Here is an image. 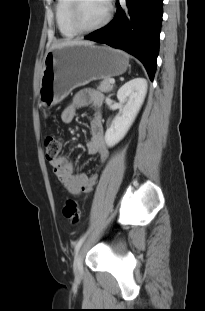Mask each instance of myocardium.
Returning <instances> with one entry per match:
<instances>
[{"label": "myocardium", "instance_id": "myocardium-1", "mask_svg": "<svg viewBox=\"0 0 205 311\" xmlns=\"http://www.w3.org/2000/svg\"><path fill=\"white\" fill-rule=\"evenodd\" d=\"M82 2H83V0H72L71 5H70V10H69L70 23L78 33L96 32V31L104 28L110 22L111 17H112V7L105 0V2L107 4V13H106V16L104 17V19L100 23H98L97 25H95L93 27L83 26V24L80 20V16H79V9H80V5Z\"/></svg>", "mask_w": 205, "mask_h": 311}]
</instances>
